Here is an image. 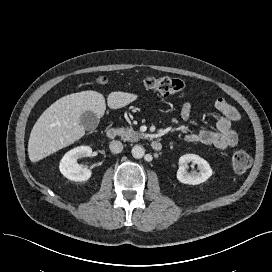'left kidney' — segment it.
<instances>
[{"instance_id":"left-kidney-1","label":"left kidney","mask_w":272,"mask_h":272,"mask_svg":"<svg viewBox=\"0 0 272 272\" xmlns=\"http://www.w3.org/2000/svg\"><path fill=\"white\" fill-rule=\"evenodd\" d=\"M188 162L197 164L199 172L188 173L186 165ZM212 175V169L209 163L196 154H185L179 159V169L177 179L184 184L198 185L205 182Z\"/></svg>"}]
</instances>
